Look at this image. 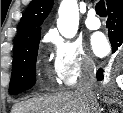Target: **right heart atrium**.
Masks as SVG:
<instances>
[{
    "mask_svg": "<svg viewBox=\"0 0 123 113\" xmlns=\"http://www.w3.org/2000/svg\"><path fill=\"white\" fill-rule=\"evenodd\" d=\"M51 42L54 75L62 86H73L81 75L94 69L92 58L79 42L60 36H52Z\"/></svg>",
    "mask_w": 123,
    "mask_h": 113,
    "instance_id": "right-heart-atrium-1",
    "label": "right heart atrium"
}]
</instances>
